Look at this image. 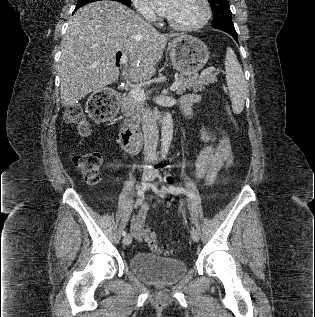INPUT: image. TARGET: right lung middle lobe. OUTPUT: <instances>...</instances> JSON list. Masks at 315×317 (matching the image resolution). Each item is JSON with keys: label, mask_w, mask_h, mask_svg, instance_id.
Instances as JSON below:
<instances>
[{"label": "right lung middle lobe", "mask_w": 315, "mask_h": 317, "mask_svg": "<svg viewBox=\"0 0 315 317\" xmlns=\"http://www.w3.org/2000/svg\"><path fill=\"white\" fill-rule=\"evenodd\" d=\"M95 1H99V0H78L77 2V6L78 7H82L88 3H91V2H95ZM113 1H118L126 6H130L131 5V0H113ZM76 6V7H77Z\"/></svg>", "instance_id": "right-lung-middle-lobe-1"}]
</instances>
